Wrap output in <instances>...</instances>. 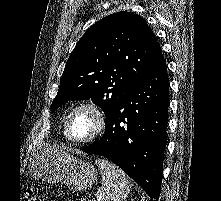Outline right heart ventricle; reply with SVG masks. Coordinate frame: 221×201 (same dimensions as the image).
<instances>
[{
    "label": "right heart ventricle",
    "mask_w": 221,
    "mask_h": 201,
    "mask_svg": "<svg viewBox=\"0 0 221 201\" xmlns=\"http://www.w3.org/2000/svg\"><path fill=\"white\" fill-rule=\"evenodd\" d=\"M63 134L65 135V122L63 123Z\"/></svg>",
    "instance_id": "right-heart-ventricle-1"
}]
</instances>
